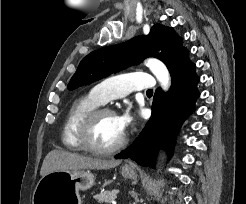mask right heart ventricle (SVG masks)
Listing matches in <instances>:
<instances>
[{
    "instance_id": "obj_1",
    "label": "right heart ventricle",
    "mask_w": 246,
    "mask_h": 204,
    "mask_svg": "<svg viewBox=\"0 0 246 204\" xmlns=\"http://www.w3.org/2000/svg\"><path fill=\"white\" fill-rule=\"evenodd\" d=\"M101 103L89 93L76 99L71 105L62 127V143L71 150H82L78 140V128L83 118L92 110L98 108Z\"/></svg>"
}]
</instances>
